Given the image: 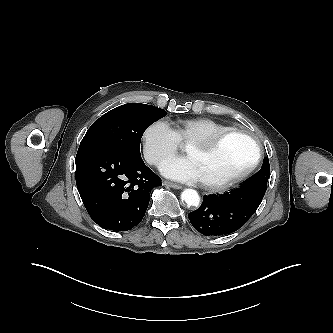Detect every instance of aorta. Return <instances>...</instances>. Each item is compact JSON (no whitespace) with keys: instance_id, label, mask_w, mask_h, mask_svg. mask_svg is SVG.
<instances>
[{"instance_id":"aorta-1","label":"aorta","mask_w":333,"mask_h":333,"mask_svg":"<svg viewBox=\"0 0 333 333\" xmlns=\"http://www.w3.org/2000/svg\"><path fill=\"white\" fill-rule=\"evenodd\" d=\"M181 198L189 206H198L200 202L198 192L194 189H185L181 193Z\"/></svg>"}]
</instances>
